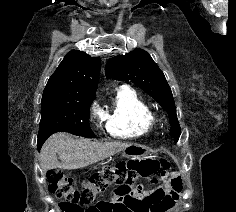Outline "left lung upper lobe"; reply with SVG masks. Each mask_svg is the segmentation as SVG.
Here are the masks:
<instances>
[{
    "mask_svg": "<svg viewBox=\"0 0 236 212\" xmlns=\"http://www.w3.org/2000/svg\"><path fill=\"white\" fill-rule=\"evenodd\" d=\"M105 71L107 77L130 80L164 107L170 120V134L178 140L181 129L171 88L147 51L135 50L125 55H117L107 62Z\"/></svg>",
    "mask_w": 236,
    "mask_h": 212,
    "instance_id": "left-lung-upper-lobe-1",
    "label": "left lung upper lobe"
}]
</instances>
